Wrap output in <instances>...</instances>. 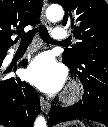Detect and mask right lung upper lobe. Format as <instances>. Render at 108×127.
Wrapping results in <instances>:
<instances>
[{"label":"right lung upper lobe","instance_id":"cb5924a9","mask_svg":"<svg viewBox=\"0 0 108 127\" xmlns=\"http://www.w3.org/2000/svg\"><path fill=\"white\" fill-rule=\"evenodd\" d=\"M42 6L43 0H0V49L17 42L18 38L12 41L13 34L38 23Z\"/></svg>","mask_w":108,"mask_h":127}]
</instances>
